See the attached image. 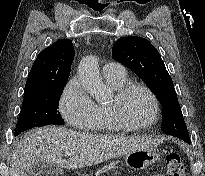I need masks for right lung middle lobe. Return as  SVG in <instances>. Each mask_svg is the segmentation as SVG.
<instances>
[{"instance_id":"dd1d6c3e","label":"right lung middle lobe","mask_w":205,"mask_h":176,"mask_svg":"<svg viewBox=\"0 0 205 176\" xmlns=\"http://www.w3.org/2000/svg\"><path fill=\"white\" fill-rule=\"evenodd\" d=\"M64 85L45 92L24 96L14 136H18L21 132L34 127L64 124L57 111L58 100Z\"/></svg>"}]
</instances>
